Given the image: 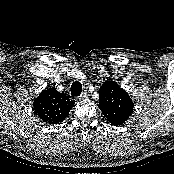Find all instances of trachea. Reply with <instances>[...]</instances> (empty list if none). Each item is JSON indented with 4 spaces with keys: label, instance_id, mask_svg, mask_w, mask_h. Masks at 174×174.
Listing matches in <instances>:
<instances>
[{
    "label": "trachea",
    "instance_id": "trachea-1",
    "mask_svg": "<svg viewBox=\"0 0 174 174\" xmlns=\"http://www.w3.org/2000/svg\"><path fill=\"white\" fill-rule=\"evenodd\" d=\"M82 92V84L79 81H75L71 86V95L79 96Z\"/></svg>",
    "mask_w": 174,
    "mask_h": 174
}]
</instances>
